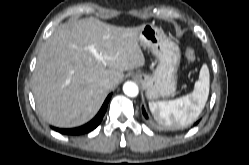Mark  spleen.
<instances>
[{
  "label": "spleen",
  "instance_id": "3e777b00",
  "mask_svg": "<svg viewBox=\"0 0 249 165\" xmlns=\"http://www.w3.org/2000/svg\"><path fill=\"white\" fill-rule=\"evenodd\" d=\"M209 83V69L203 64L192 93L171 101L149 102V109L161 124L189 125L196 121L207 102Z\"/></svg>",
  "mask_w": 249,
  "mask_h": 165
}]
</instances>
